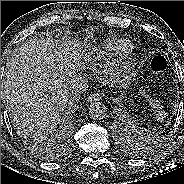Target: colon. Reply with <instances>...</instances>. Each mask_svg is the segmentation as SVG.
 Listing matches in <instances>:
<instances>
[{"label":"colon","mask_w":184,"mask_h":184,"mask_svg":"<svg viewBox=\"0 0 184 184\" xmlns=\"http://www.w3.org/2000/svg\"><path fill=\"white\" fill-rule=\"evenodd\" d=\"M151 67H152L153 71L163 75L165 73L166 68H167V61H166L165 57L160 56V55L155 56L151 61Z\"/></svg>","instance_id":"5ec220e1"}]
</instances>
